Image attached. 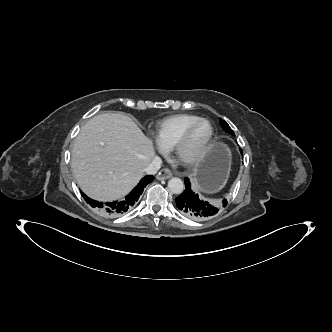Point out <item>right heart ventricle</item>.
Returning a JSON list of instances; mask_svg holds the SVG:
<instances>
[{"instance_id":"1","label":"right heart ventricle","mask_w":332,"mask_h":332,"mask_svg":"<svg viewBox=\"0 0 332 332\" xmlns=\"http://www.w3.org/2000/svg\"><path fill=\"white\" fill-rule=\"evenodd\" d=\"M199 118L197 115L179 114L163 119L153 130L157 143L164 149H172L184 130Z\"/></svg>"}]
</instances>
